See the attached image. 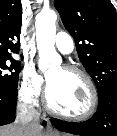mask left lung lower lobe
Segmentation results:
<instances>
[{"instance_id":"obj_1","label":"left lung lower lobe","mask_w":117,"mask_h":136,"mask_svg":"<svg viewBox=\"0 0 117 136\" xmlns=\"http://www.w3.org/2000/svg\"><path fill=\"white\" fill-rule=\"evenodd\" d=\"M60 131L80 136H117V84L99 96L96 113L87 121L71 123L52 119Z\"/></svg>"}]
</instances>
